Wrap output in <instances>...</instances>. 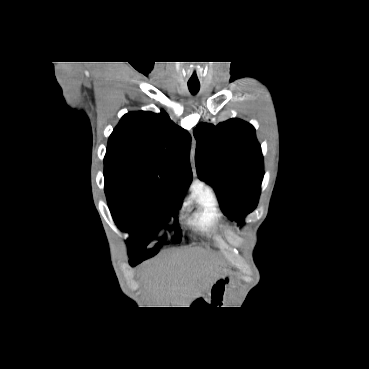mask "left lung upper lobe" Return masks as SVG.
I'll return each mask as SVG.
<instances>
[{"instance_id":"1","label":"left lung upper lobe","mask_w":369,"mask_h":369,"mask_svg":"<svg viewBox=\"0 0 369 369\" xmlns=\"http://www.w3.org/2000/svg\"><path fill=\"white\" fill-rule=\"evenodd\" d=\"M193 133L200 179L213 187L223 213L243 225L244 217L257 206L264 176L254 127L230 119L217 126L199 123Z\"/></svg>"}]
</instances>
